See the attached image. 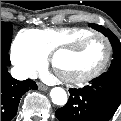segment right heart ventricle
Wrapping results in <instances>:
<instances>
[{
    "label": "right heart ventricle",
    "mask_w": 121,
    "mask_h": 121,
    "mask_svg": "<svg viewBox=\"0 0 121 121\" xmlns=\"http://www.w3.org/2000/svg\"><path fill=\"white\" fill-rule=\"evenodd\" d=\"M61 34L51 28L23 30L19 37V46L34 49L41 55H47L58 49Z\"/></svg>",
    "instance_id": "e07e8e85"
}]
</instances>
